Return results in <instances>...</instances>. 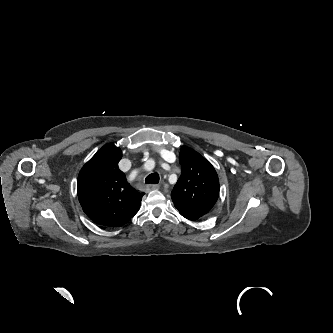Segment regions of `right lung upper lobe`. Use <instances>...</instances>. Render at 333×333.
I'll return each mask as SVG.
<instances>
[{"mask_svg": "<svg viewBox=\"0 0 333 333\" xmlns=\"http://www.w3.org/2000/svg\"><path fill=\"white\" fill-rule=\"evenodd\" d=\"M121 149L103 146L81 169L77 180L79 202L86 215L103 226L120 227L139 210L143 194L128 184L119 170Z\"/></svg>", "mask_w": 333, "mask_h": 333, "instance_id": "cb5924a9", "label": "right lung upper lobe"}]
</instances>
